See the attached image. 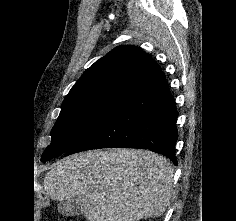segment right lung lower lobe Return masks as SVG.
Segmentation results:
<instances>
[{"label": "right lung lower lobe", "mask_w": 236, "mask_h": 221, "mask_svg": "<svg viewBox=\"0 0 236 221\" xmlns=\"http://www.w3.org/2000/svg\"><path fill=\"white\" fill-rule=\"evenodd\" d=\"M177 116L174 98L162 77L136 92L66 155L89 149L128 147L149 149L177 164L174 154Z\"/></svg>", "instance_id": "98d812e1"}]
</instances>
